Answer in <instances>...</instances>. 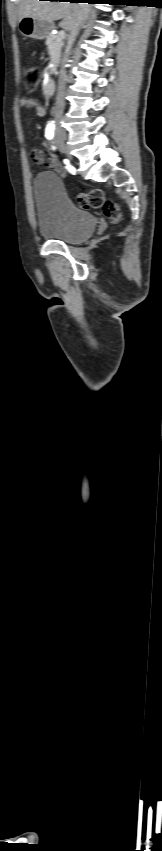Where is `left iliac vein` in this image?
Listing matches in <instances>:
<instances>
[{
  "label": "left iliac vein",
  "mask_w": 162,
  "mask_h": 851,
  "mask_svg": "<svg viewBox=\"0 0 162 851\" xmlns=\"http://www.w3.org/2000/svg\"><path fill=\"white\" fill-rule=\"evenodd\" d=\"M59 149H60V151H61V152H63V150L61 149V147H60V146H59Z\"/></svg>",
  "instance_id": "4c4485c4"
}]
</instances>
